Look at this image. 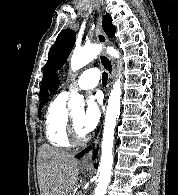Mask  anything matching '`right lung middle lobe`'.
<instances>
[{"mask_svg":"<svg viewBox=\"0 0 178 195\" xmlns=\"http://www.w3.org/2000/svg\"><path fill=\"white\" fill-rule=\"evenodd\" d=\"M41 108H42V106H40V107H39V110H38V115H39V117H40Z\"/></svg>","mask_w":178,"mask_h":195,"instance_id":"obj_1","label":"right lung middle lobe"}]
</instances>
